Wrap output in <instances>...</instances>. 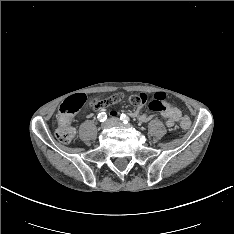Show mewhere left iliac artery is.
<instances>
[{"label": "left iliac artery", "mask_w": 234, "mask_h": 234, "mask_svg": "<svg viewBox=\"0 0 234 234\" xmlns=\"http://www.w3.org/2000/svg\"><path fill=\"white\" fill-rule=\"evenodd\" d=\"M120 120H121L124 124L130 123V118H129L127 115H125V114H122V115L120 116Z\"/></svg>", "instance_id": "44dca946"}]
</instances>
